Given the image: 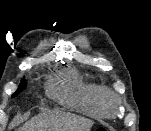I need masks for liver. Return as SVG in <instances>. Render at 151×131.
Masks as SVG:
<instances>
[{
	"mask_svg": "<svg viewBox=\"0 0 151 131\" xmlns=\"http://www.w3.org/2000/svg\"><path fill=\"white\" fill-rule=\"evenodd\" d=\"M93 121L69 112H48L32 118L18 131H90Z\"/></svg>",
	"mask_w": 151,
	"mask_h": 131,
	"instance_id": "obj_1",
	"label": "liver"
}]
</instances>
